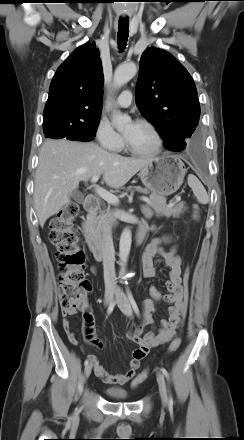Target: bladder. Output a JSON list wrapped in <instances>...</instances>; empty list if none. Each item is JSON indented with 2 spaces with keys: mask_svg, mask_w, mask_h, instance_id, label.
<instances>
[{
  "mask_svg": "<svg viewBox=\"0 0 244 440\" xmlns=\"http://www.w3.org/2000/svg\"><path fill=\"white\" fill-rule=\"evenodd\" d=\"M104 394L114 401H125L129 399V394L125 390L106 389Z\"/></svg>",
  "mask_w": 244,
  "mask_h": 440,
  "instance_id": "bladder-1",
  "label": "bladder"
}]
</instances>
